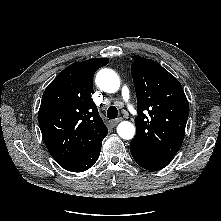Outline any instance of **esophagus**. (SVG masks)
I'll list each match as a JSON object with an SVG mask.
<instances>
[{
	"label": "esophagus",
	"mask_w": 221,
	"mask_h": 221,
	"mask_svg": "<svg viewBox=\"0 0 221 221\" xmlns=\"http://www.w3.org/2000/svg\"><path fill=\"white\" fill-rule=\"evenodd\" d=\"M122 120H123L122 118H117V119L112 120L110 123H111V125L114 127V126H116L119 122H121Z\"/></svg>",
	"instance_id": "34e87169"
}]
</instances>
